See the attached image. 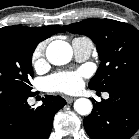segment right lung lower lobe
Here are the masks:
<instances>
[{"label":"right lung lower lobe","mask_w":139,"mask_h":139,"mask_svg":"<svg viewBox=\"0 0 139 139\" xmlns=\"http://www.w3.org/2000/svg\"><path fill=\"white\" fill-rule=\"evenodd\" d=\"M28 97L14 92H0V139L49 137L54 115L66 101L60 96L46 95L43 104L34 109L28 105Z\"/></svg>","instance_id":"obj_1"}]
</instances>
